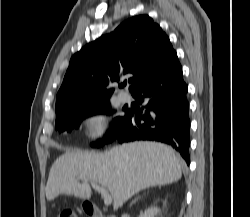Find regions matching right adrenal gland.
Segmentation results:
<instances>
[{"instance_id":"right-adrenal-gland-1","label":"right adrenal gland","mask_w":250,"mask_h":217,"mask_svg":"<svg viewBox=\"0 0 250 217\" xmlns=\"http://www.w3.org/2000/svg\"><path fill=\"white\" fill-rule=\"evenodd\" d=\"M138 198H139V197L135 198V200H133V201L131 202L130 206H131L133 203H135V202L138 200Z\"/></svg>"}]
</instances>
